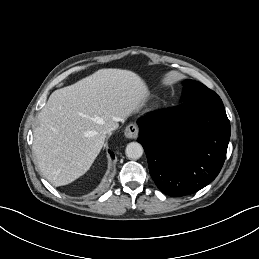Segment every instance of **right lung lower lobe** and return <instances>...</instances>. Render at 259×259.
<instances>
[{"label": "right lung lower lobe", "instance_id": "right-lung-lower-lobe-1", "mask_svg": "<svg viewBox=\"0 0 259 259\" xmlns=\"http://www.w3.org/2000/svg\"><path fill=\"white\" fill-rule=\"evenodd\" d=\"M112 157H114V154L113 153H110Z\"/></svg>", "mask_w": 259, "mask_h": 259}]
</instances>
